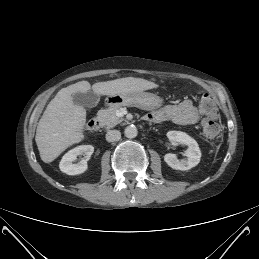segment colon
<instances>
[{
  "label": "colon",
  "mask_w": 259,
  "mask_h": 259,
  "mask_svg": "<svg viewBox=\"0 0 259 259\" xmlns=\"http://www.w3.org/2000/svg\"><path fill=\"white\" fill-rule=\"evenodd\" d=\"M202 107L206 112V118L202 122V133L205 138L213 139L220 132V124L217 121V108L209 95H204L201 100Z\"/></svg>",
  "instance_id": "1"
}]
</instances>
